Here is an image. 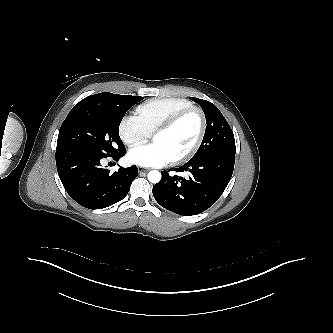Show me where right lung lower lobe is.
I'll list each match as a JSON object with an SVG mask.
<instances>
[{
	"mask_svg": "<svg viewBox=\"0 0 333 333\" xmlns=\"http://www.w3.org/2000/svg\"><path fill=\"white\" fill-rule=\"evenodd\" d=\"M125 153L126 150L112 158L118 161ZM103 158L84 149H56V165L61 182L70 197L83 207L102 209L117 203L127 195L132 181L138 176L135 165L121 167L114 173L101 168Z\"/></svg>",
	"mask_w": 333,
	"mask_h": 333,
	"instance_id": "right-lung-lower-lobe-1",
	"label": "right lung lower lobe"
}]
</instances>
